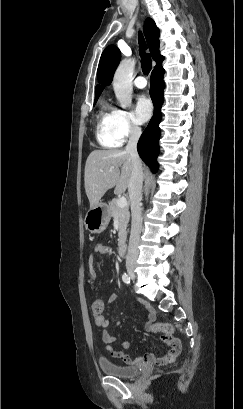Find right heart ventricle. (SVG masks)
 I'll return each mask as SVG.
<instances>
[{"label": "right heart ventricle", "mask_w": 243, "mask_h": 409, "mask_svg": "<svg viewBox=\"0 0 243 409\" xmlns=\"http://www.w3.org/2000/svg\"><path fill=\"white\" fill-rule=\"evenodd\" d=\"M115 109L107 101H102L98 113L97 140L107 148H117L121 142L112 128V117Z\"/></svg>", "instance_id": "right-heart-ventricle-1"}]
</instances>
